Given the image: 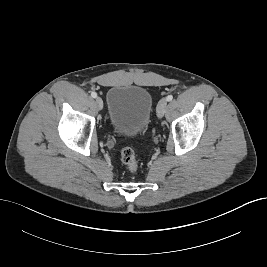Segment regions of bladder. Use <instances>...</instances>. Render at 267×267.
<instances>
[{
	"instance_id": "obj_1",
	"label": "bladder",
	"mask_w": 267,
	"mask_h": 267,
	"mask_svg": "<svg viewBox=\"0 0 267 267\" xmlns=\"http://www.w3.org/2000/svg\"><path fill=\"white\" fill-rule=\"evenodd\" d=\"M152 109V96L144 87L116 85L107 92L108 121L119 134H144L151 120Z\"/></svg>"
}]
</instances>
